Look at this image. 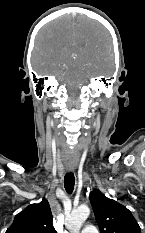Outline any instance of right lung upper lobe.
<instances>
[{"label":"right lung upper lobe","mask_w":145,"mask_h":233,"mask_svg":"<svg viewBox=\"0 0 145 233\" xmlns=\"http://www.w3.org/2000/svg\"><path fill=\"white\" fill-rule=\"evenodd\" d=\"M49 203L43 199L18 213L6 233H56Z\"/></svg>","instance_id":"obj_1"}]
</instances>
